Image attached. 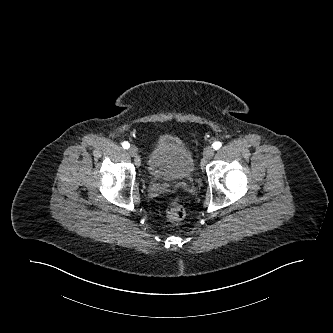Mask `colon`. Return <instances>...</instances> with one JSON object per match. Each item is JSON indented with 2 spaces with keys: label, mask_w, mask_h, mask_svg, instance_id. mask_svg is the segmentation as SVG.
Returning <instances> with one entry per match:
<instances>
[{
  "label": "colon",
  "mask_w": 333,
  "mask_h": 333,
  "mask_svg": "<svg viewBox=\"0 0 333 333\" xmlns=\"http://www.w3.org/2000/svg\"><path fill=\"white\" fill-rule=\"evenodd\" d=\"M166 216L172 222H178L184 218L185 211L178 203H171L166 208Z\"/></svg>",
  "instance_id": "obj_1"
}]
</instances>
